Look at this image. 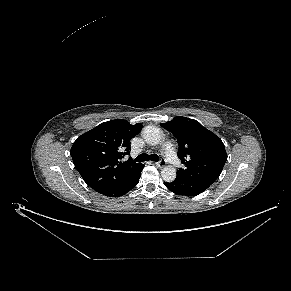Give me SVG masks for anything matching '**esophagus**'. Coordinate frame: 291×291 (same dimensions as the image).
Masks as SVG:
<instances>
[{
    "mask_svg": "<svg viewBox=\"0 0 291 291\" xmlns=\"http://www.w3.org/2000/svg\"><path fill=\"white\" fill-rule=\"evenodd\" d=\"M155 165L158 168H163L165 166V161L164 160H160L159 162H156Z\"/></svg>",
    "mask_w": 291,
    "mask_h": 291,
    "instance_id": "esophagus-1",
    "label": "esophagus"
}]
</instances>
